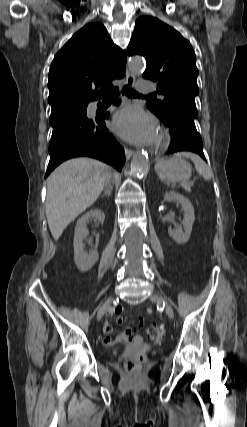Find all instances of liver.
Wrapping results in <instances>:
<instances>
[{
  "instance_id": "6515ba94",
  "label": "liver",
  "mask_w": 247,
  "mask_h": 427,
  "mask_svg": "<svg viewBox=\"0 0 247 427\" xmlns=\"http://www.w3.org/2000/svg\"><path fill=\"white\" fill-rule=\"evenodd\" d=\"M110 176L108 165L91 158L68 160L50 174L46 217L54 240L97 200Z\"/></svg>"
}]
</instances>
